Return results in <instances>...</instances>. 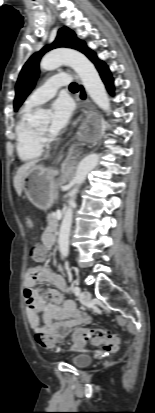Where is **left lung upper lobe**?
I'll list each match as a JSON object with an SVG mask.
<instances>
[{
    "instance_id": "1",
    "label": "left lung upper lobe",
    "mask_w": 155,
    "mask_h": 413,
    "mask_svg": "<svg viewBox=\"0 0 155 413\" xmlns=\"http://www.w3.org/2000/svg\"><path fill=\"white\" fill-rule=\"evenodd\" d=\"M58 47L76 49L85 54L90 60L96 56V54L90 50L83 41L76 37L72 30L67 27L61 28L58 31L56 40L51 45L45 46L40 52L33 54L23 66L16 84V96L14 100L15 111L18 110L36 83L39 75V61L41 56L45 52Z\"/></svg>"
}]
</instances>
